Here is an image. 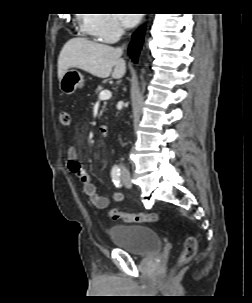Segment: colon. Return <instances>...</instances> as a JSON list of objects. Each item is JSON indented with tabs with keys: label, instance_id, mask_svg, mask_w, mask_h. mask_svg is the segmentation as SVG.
Here are the masks:
<instances>
[{
	"label": "colon",
	"instance_id": "1",
	"mask_svg": "<svg viewBox=\"0 0 252 303\" xmlns=\"http://www.w3.org/2000/svg\"><path fill=\"white\" fill-rule=\"evenodd\" d=\"M59 121L63 126H69L71 123V117L67 110H61L59 113ZM109 217L112 220H122L127 223H151L158 220V216L155 213H134L126 212L117 209H112L109 212ZM197 245L194 239L186 240L183 250L180 253L177 263L183 265L188 263L196 254Z\"/></svg>",
	"mask_w": 252,
	"mask_h": 303
}]
</instances>
